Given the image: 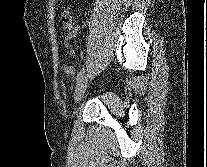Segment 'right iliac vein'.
I'll use <instances>...</instances> for the list:
<instances>
[{"label":"right iliac vein","instance_id":"right-iliac-vein-1","mask_svg":"<svg viewBox=\"0 0 207 167\" xmlns=\"http://www.w3.org/2000/svg\"><path fill=\"white\" fill-rule=\"evenodd\" d=\"M87 88V78H83L81 82L77 85L75 93H74V101L78 103L84 96V93Z\"/></svg>","mask_w":207,"mask_h":167}]
</instances>
